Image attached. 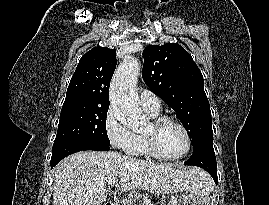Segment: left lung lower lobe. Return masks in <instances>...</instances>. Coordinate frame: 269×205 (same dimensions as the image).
Returning <instances> with one entry per match:
<instances>
[{"label": "left lung lower lobe", "instance_id": "1", "mask_svg": "<svg viewBox=\"0 0 269 205\" xmlns=\"http://www.w3.org/2000/svg\"><path fill=\"white\" fill-rule=\"evenodd\" d=\"M186 165H195L206 170L217 184V163L213 149V138L205 140L194 149L192 156L185 162Z\"/></svg>", "mask_w": 269, "mask_h": 205}]
</instances>
